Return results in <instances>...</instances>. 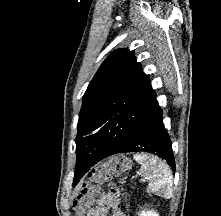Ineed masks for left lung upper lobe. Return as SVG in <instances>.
<instances>
[{"label":"left lung upper lobe","mask_w":221,"mask_h":216,"mask_svg":"<svg viewBox=\"0 0 221 216\" xmlns=\"http://www.w3.org/2000/svg\"><path fill=\"white\" fill-rule=\"evenodd\" d=\"M156 94L133 51H114L89 84L79 114L76 137L77 163L90 147H122L149 114Z\"/></svg>","instance_id":"obj_1"}]
</instances>
